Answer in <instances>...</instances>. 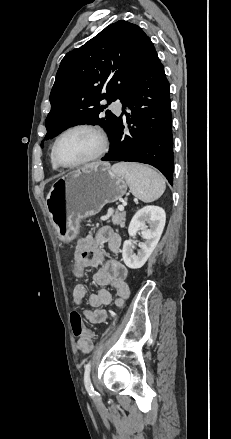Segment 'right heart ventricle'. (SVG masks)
Instances as JSON below:
<instances>
[{
  "label": "right heart ventricle",
  "mask_w": 231,
  "mask_h": 439,
  "mask_svg": "<svg viewBox=\"0 0 231 439\" xmlns=\"http://www.w3.org/2000/svg\"><path fill=\"white\" fill-rule=\"evenodd\" d=\"M50 162H51V166H52L53 169H55V170L59 169V166L56 164V162L53 159L52 150H51V153H50Z\"/></svg>",
  "instance_id": "1"
}]
</instances>
